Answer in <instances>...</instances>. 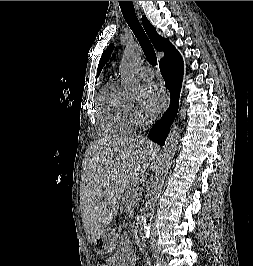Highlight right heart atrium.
Segmentation results:
<instances>
[{
    "mask_svg": "<svg viewBox=\"0 0 253 266\" xmlns=\"http://www.w3.org/2000/svg\"><path fill=\"white\" fill-rule=\"evenodd\" d=\"M131 112L135 124H142L148 117L145 111L139 107H132Z\"/></svg>",
    "mask_w": 253,
    "mask_h": 266,
    "instance_id": "d8ad5b80",
    "label": "right heart atrium"
}]
</instances>
